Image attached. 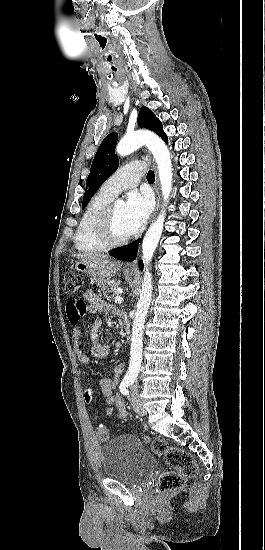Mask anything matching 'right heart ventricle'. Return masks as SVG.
<instances>
[{
    "label": "right heart ventricle",
    "mask_w": 265,
    "mask_h": 550,
    "mask_svg": "<svg viewBox=\"0 0 265 550\" xmlns=\"http://www.w3.org/2000/svg\"><path fill=\"white\" fill-rule=\"evenodd\" d=\"M114 197L105 193L102 188L87 203L78 223L74 242L80 252H103L108 246L98 237L95 224L103 211Z\"/></svg>",
    "instance_id": "right-heart-ventricle-1"
}]
</instances>
